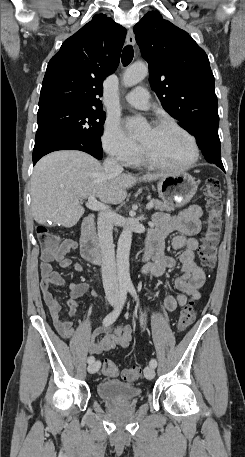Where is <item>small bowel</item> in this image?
Returning a JSON list of instances; mask_svg holds the SVG:
<instances>
[{
  "mask_svg": "<svg viewBox=\"0 0 245 457\" xmlns=\"http://www.w3.org/2000/svg\"><path fill=\"white\" fill-rule=\"evenodd\" d=\"M202 215V208L192 205L176 215L157 213L154 216V226L147 237V250L151 253L152 262L144 268L143 272L159 277L164 275L167 269L176 266V259L164 254V241L169 234L176 232L171 245L175 250H182L179 255L182 274L175 280L179 294L167 295L164 298L163 304L167 311L173 312L183 307L188 298L194 301L200 298L199 290L204 284L205 273L195 261V251L199 244L197 235L202 227ZM76 246L77 243L74 240L67 239L62 242L54 255L42 254L41 256V290L55 328L63 338L70 341L73 347L91 354H101L118 346L125 348L133 338L134 330L130 325L114 326L113 323L103 325L91 334L87 328H75L73 322L61 318V306L50 291L51 285L68 286L70 295L67 306L70 316L75 314L79 299L89 291L87 283L67 284L62 275L53 271L51 266L52 261H57L62 268L83 271L82 264L67 257V254ZM90 294L96 299L101 298L94 290L90 291ZM98 336L100 338L96 339Z\"/></svg>",
  "mask_w": 245,
  "mask_h": 457,
  "instance_id": "1",
  "label": "small bowel"
}]
</instances>
